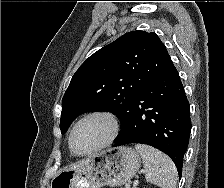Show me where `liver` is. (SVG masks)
<instances>
[{
    "mask_svg": "<svg viewBox=\"0 0 224 188\" xmlns=\"http://www.w3.org/2000/svg\"><path fill=\"white\" fill-rule=\"evenodd\" d=\"M89 160H90V158H87V159H84L82 161H79V162L73 164L72 166H70L68 169L76 168V167H78V166H80V165H82L84 163H87Z\"/></svg>",
    "mask_w": 224,
    "mask_h": 188,
    "instance_id": "obj_1",
    "label": "liver"
}]
</instances>
